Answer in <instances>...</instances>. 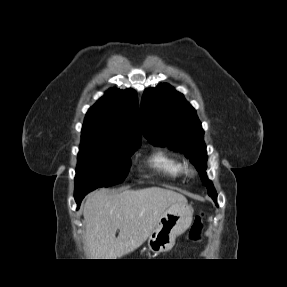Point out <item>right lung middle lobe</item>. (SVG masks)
<instances>
[{
	"mask_svg": "<svg viewBox=\"0 0 287 287\" xmlns=\"http://www.w3.org/2000/svg\"><path fill=\"white\" fill-rule=\"evenodd\" d=\"M81 138L74 197L98 187L121 183L129 172L130 156L140 147V142Z\"/></svg>",
	"mask_w": 287,
	"mask_h": 287,
	"instance_id": "dd1d6c3e",
	"label": "right lung middle lobe"
}]
</instances>
